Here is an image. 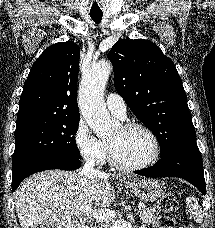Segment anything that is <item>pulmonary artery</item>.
<instances>
[{
	"label": "pulmonary artery",
	"instance_id": "pulmonary-artery-1",
	"mask_svg": "<svg viewBox=\"0 0 215 228\" xmlns=\"http://www.w3.org/2000/svg\"><path fill=\"white\" fill-rule=\"evenodd\" d=\"M106 106L108 110L119 117L120 119H124L126 116V104L123 98L118 96L117 94H109L106 98Z\"/></svg>",
	"mask_w": 215,
	"mask_h": 228
}]
</instances>
